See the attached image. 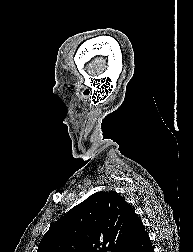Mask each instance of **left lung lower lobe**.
<instances>
[{
    "instance_id": "0a47b994",
    "label": "left lung lower lobe",
    "mask_w": 193,
    "mask_h": 252,
    "mask_svg": "<svg viewBox=\"0 0 193 252\" xmlns=\"http://www.w3.org/2000/svg\"><path fill=\"white\" fill-rule=\"evenodd\" d=\"M124 252H154L149 236L140 222L129 240Z\"/></svg>"
}]
</instances>
